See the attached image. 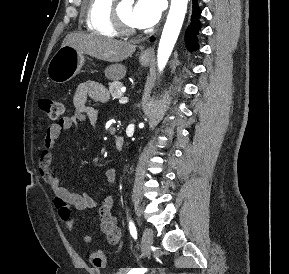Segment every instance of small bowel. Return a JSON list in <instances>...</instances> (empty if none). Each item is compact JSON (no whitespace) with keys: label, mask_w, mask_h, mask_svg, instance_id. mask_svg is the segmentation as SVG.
<instances>
[{"label":"small bowel","mask_w":289,"mask_h":274,"mask_svg":"<svg viewBox=\"0 0 289 274\" xmlns=\"http://www.w3.org/2000/svg\"><path fill=\"white\" fill-rule=\"evenodd\" d=\"M106 98L107 92L103 85L94 81H85L79 84L73 98V114L62 117L47 128L39 159V171L45 183L53 190L54 206L58 216L69 231L74 229L76 223L71 208L78 211L98 208L101 231L109 244L116 245L120 240L121 231L113 214V197L111 195L107 196L99 203L88 193L71 192L61 185L53 167L58 138L76 122L87 120L91 125H95L98 112L90 104V101H102ZM105 178L108 185L112 186L116 180V170L108 168L105 172ZM93 240L94 234H87L81 238L83 243H90Z\"/></svg>","instance_id":"obj_1"}]
</instances>
